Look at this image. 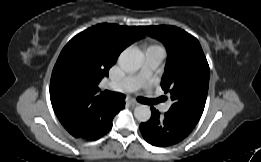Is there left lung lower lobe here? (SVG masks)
<instances>
[{
  "label": "left lung lower lobe",
  "instance_id": "obj_1",
  "mask_svg": "<svg viewBox=\"0 0 261 162\" xmlns=\"http://www.w3.org/2000/svg\"><path fill=\"white\" fill-rule=\"evenodd\" d=\"M151 112L150 120L140 124V131L144 139L154 146L166 147L180 142L197 124L180 113L168 111L162 116L153 107Z\"/></svg>",
  "mask_w": 261,
  "mask_h": 162
}]
</instances>
